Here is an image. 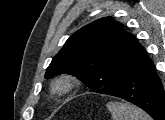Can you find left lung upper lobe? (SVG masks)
Masks as SVG:
<instances>
[{
	"label": "left lung upper lobe",
	"instance_id": "obj_1",
	"mask_svg": "<svg viewBox=\"0 0 165 120\" xmlns=\"http://www.w3.org/2000/svg\"><path fill=\"white\" fill-rule=\"evenodd\" d=\"M133 34L111 17L98 19L74 33L53 58L45 78L76 76L90 92L109 94L122 82L138 48Z\"/></svg>",
	"mask_w": 165,
	"mask_h": 120
}]
</instances>
